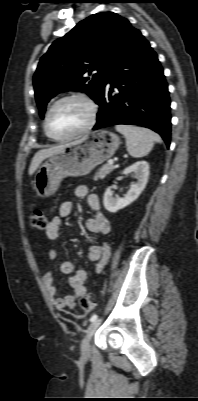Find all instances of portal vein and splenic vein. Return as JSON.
Masks as SVG:
<instances>
[{
    "label": "portal vein and splenic vein",
    "mask_w": 198,
    "mask_h": 401,
    "mask_svg": "<svg viewBox=\"0 0 198 401\" xmlns=\"http://www.w3.org/2000/svg\"><path fill=\"white\" fill-rule=\"evenodd\" d=\"M108 163H109V164H113V163H114V160H109Z\"/></svg>",
    "instance_id": "obj_1"
}]
</instances>
